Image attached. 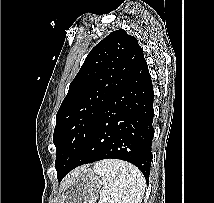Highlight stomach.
<instances>
[{"instance_id": "stomach-1", "label": "stomach", "mask_w": 214, "mask_h": 203, "mask_svg": "<svg viewBox=\"0 0 214 203\" xmlns=\"http://www.w3.org/2000/svg\"><path fill=\"white\" fill-rule=\"evenodd\" d=\"M103 189L102 176L84 167L61 193L60 203H95Z\"/></svg>"}]
</instances>
